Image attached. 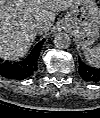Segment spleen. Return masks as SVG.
<instances>
[{
	"label": "spleen",
	"instance_id": "obj_1",
	"mask_svg": "<svg viewBox=\"0 0 100 118\" xmlns=\"http://www.w3.org/2000/svg\"><path fill=\"white\" fill-rule=\"evenodd\" d=\"M82 51H83L86 61L90 65L97 68L100 66V48L99 47L89 48L87 45H83Z\"/></svg>",
	"mask_w": 100,
	"mask_h": 118
}]
</instances>
